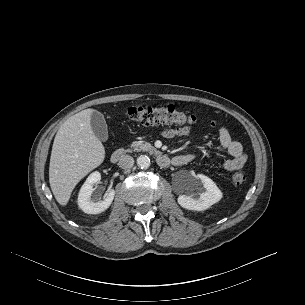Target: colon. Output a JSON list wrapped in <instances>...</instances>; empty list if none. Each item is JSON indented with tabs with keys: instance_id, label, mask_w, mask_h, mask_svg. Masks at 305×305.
<instances>
[{
	"instance_id": "5ec220e1",
	"label": "colon",
	"mask_w": 305,
	"mask_h": 305,
	"mask_svg": "<svg viewBox=\"0 0 305 305\" xmlns=\"http://www.w3.org/2000/svg\"><path fill=\"white\" fill-rule=\"evenodd\" d=\"M128 116L132 121L141 126L155 124L186 126L201 121L198 116L188 114L173 104L133 106L129 108ZM245 179L246 177L242 172H237L233 175L235 184H241Z\"/></svg>"
}]
</instances>
